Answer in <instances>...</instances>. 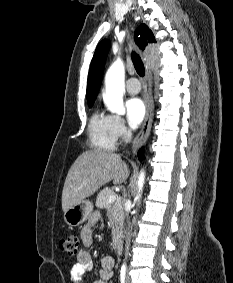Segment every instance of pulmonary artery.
<instances>
[{
  "instance_id": "pulmonary-artery-1",
  "label": "pulmonary artery",
  "mask_w": 233,
  "mask_h": 283,
  "mask_svg": "<svg viewBox=\"0 0 233 283\" xmlns=\"http://www.w3.org/2000/svg\"><path fill=\"white\" fill-rule=\"evenodd\" d=\"M125 88L129 94H137L141 90V85L137 78H130L127 80Z\"/></svg>"
}]
</instances>
